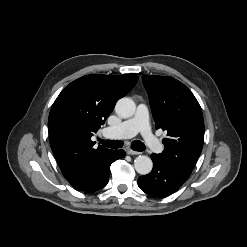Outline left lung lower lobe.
<instances>
[{"label": "left lung lower lobe", "instance_id": "0a47b994", "mask_svg": "<svg viewBox=\"0 0 247 247\" xmlns=\"http://www.w3.org/2000/svg\"><path fill=\"white\" fill-rule=\"evenodd\" d=\"M151 158L152 171L138 179V186L148 195L165 198L178 190L190 176L175 164L162 159L158 154H152Z\"/></svg>", "mask_w": 247, "mask_h": 247}]
</instances>
